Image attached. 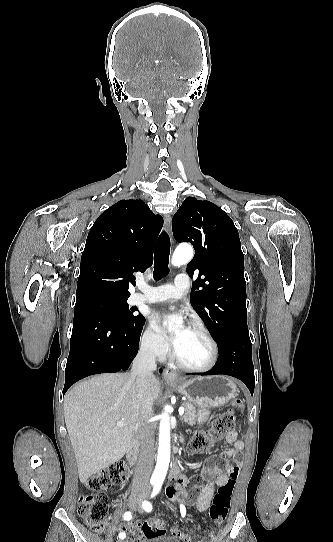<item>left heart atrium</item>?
<instances>
[{"instance_id": "left-heart-atrium-1", "label": "left heart atrium", "mask_w": 333, "mask_h": 542, "mask_svg": "<svg viewBox=\"0 0 333 542\" xmlns=\"http://www.w3.org/2000/svg\"><path fill=\"white\" fill-rule=\"evenodd\" d=\"M169 340H170L171 345L176 344V342H177L176 334L170 335Z\"/></svg>"}]
</instances>
